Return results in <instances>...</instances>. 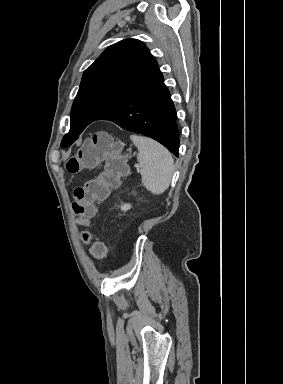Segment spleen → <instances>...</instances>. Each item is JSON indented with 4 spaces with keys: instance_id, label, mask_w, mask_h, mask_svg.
Segmentation results:
<instances>
[{
    "instance_id": "obj_1",
    "label": "spleen",
    "mask_w": 283,
    "mask_h": 384,
    "mask_svg": "<svg viewBox=\"0 0 283 384\" xmlns=\"http://www.w3.org/2000/svg\"><path fill=\"white\" fill-rule=\"evenodd\" d=\"M130 140L138 148L142 186L155 196L163 194L168 190L174 174V160L169 150L143 136H130Z\"/></svg>"
}]
</instances>
